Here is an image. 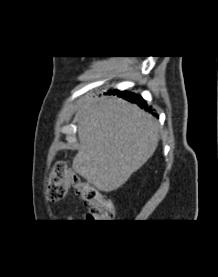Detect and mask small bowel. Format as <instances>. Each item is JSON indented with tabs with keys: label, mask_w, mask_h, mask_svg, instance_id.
<instances>
[{
	"label": "small bowel",
	"mask_w": 218,
	"mask_h": 277,
	"mask_svg": "<svg viewBox=\"0 0 218 277\" xmlns=\"http://www.w3.org/2000/svg\"><path fill=\"white\" fill-rule=\"evenodd\" d=\"M72 219V217L70 216V215H68L67 217H66V220H71Z\"/></svg>",
	"instance_id": "small-bowel-1"
}]
</instances>
